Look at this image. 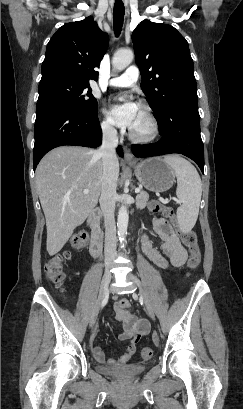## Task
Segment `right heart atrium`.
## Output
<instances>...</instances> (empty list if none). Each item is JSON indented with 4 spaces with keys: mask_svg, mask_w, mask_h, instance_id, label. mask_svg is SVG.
Returning <instances> with one entry per match:
<instances>
[{
    "mask_svg": "<svg viewBox=\"0 0 243 409\" xmlns=\"http://www.w3.org/2000/svg\"><path fill=\"white\" fill-rule=\"evenodd\" d=\"M100 125H101L102 131L108 135H112L115 132L114 127L112 126V124L110 123L108 119H103Z\"/></svg>",
    "mask_w": 243,
    "mask_h": 409,
    "instance_id": "d8ad5b80",
    "label": "right heart atrium"
}]
</instances>
